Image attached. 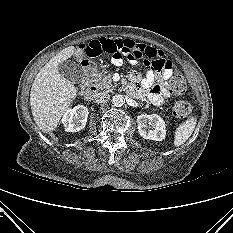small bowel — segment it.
Segmentation results:
<instances>
[{
    "instance_id": "1",
    "label": "small bowel",
    "mask_w": 233,
    "mask_h": 233,
    "mask_svg": "<svg viewBox=\"0 0 233 233\" xmlns=\"http://www.w3.org/2000/svg\"><path fill=\"white\" fill-rule=\"evenodd\" d=\"M79 52L84 56V63H88L86 58L98 57L103 53L109 54L111 62L116 66L123 63V57L132 65H138L139 60L144 59L148 67L145 77L141 78L135 71L130 72L129 91L137 96L147 95L155 105H161L172 94L167 83L173 73L172 64L159 49L129 39L99 38L80 44Z\"/></svg>"
}]
</instances>
